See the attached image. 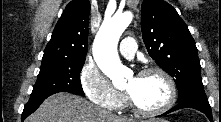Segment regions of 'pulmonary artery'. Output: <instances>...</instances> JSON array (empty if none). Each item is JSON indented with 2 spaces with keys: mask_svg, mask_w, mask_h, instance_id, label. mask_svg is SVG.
I'll return each instance as SVG.
<instances>
[{
  "mask_svg": "<svg viewBox=\"0 0 221 122\" xmlns=\"http://www.w3.org/2000/svg\"><path fill=\"white\" fill-rule=\"evenodd\" d=\"M119 51L123 56H125L127 58H132L136 52V42H135L134 38H132V37L124 38L120 42Z\"/></svg>",
  "mask_w": 221,
  "mask_h": 122,
  "instance_id": "1",
  "label": "pulmonary artery"
}]
</instances>
